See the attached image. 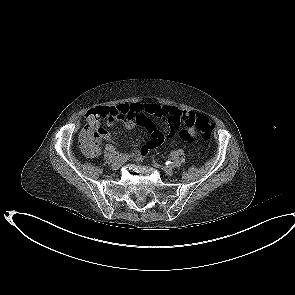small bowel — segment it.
Masks as SVG:
<instances>
[{"mask_svg": "<svg viewBox=\"0 0 295 295\" xmlns=\"http://www.w3.org/2000/svg\"><path fill=\"white\" fill-rule=\"evenodd\" d=\"M148 115L164 118L168 125V133L164 134ZM195 117H198V115L193 112L182 111L173 106H164L157 103H131L120 104L115 107L101 106L94 108L91 115L87 114V124L81 133L83 137L91 138V149L85 151V154L89 157L99 156L101 142L110 141V135L101 127L99 118L105 119L107 126H112L118 120L123 122L126 129H133L137 125L143 126L150 133L151 140L141 149H137L132 153V157L140 158L152 147L172 143L175 136L190 141L194 131L193 127L189 125ZM182 124L184 128L181 127Z\"/></svg>", "mask_w": 295, "mask_h": 295, "instance_id": "c3829d8e", "label": "small bowel"}]
</instances>
